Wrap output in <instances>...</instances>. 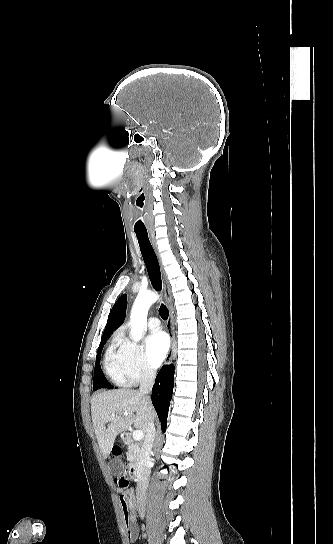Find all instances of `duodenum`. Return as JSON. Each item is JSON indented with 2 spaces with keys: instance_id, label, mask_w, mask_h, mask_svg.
Here are the masks:
<instances>
[{
  "instance_id": "410a0bca",
  "label": "duodenum",
  "mask_w": 333,
  "mask_h": 544,
  "mask_svg": "<svg viewBox=\"0 0 333 544\" xmlns=\"http://www.w3.org/2000/svg\"><path fill=\"white\" fill-rule=\"evenodd\" d=\"M122 441L125 445L132 447L133 442L129 434L124 433L122 435ZM147 472V467L141 465L140 463H132L129 467V475L134 481H141L145 477Z\"/></svg>"
}]
</instances>
